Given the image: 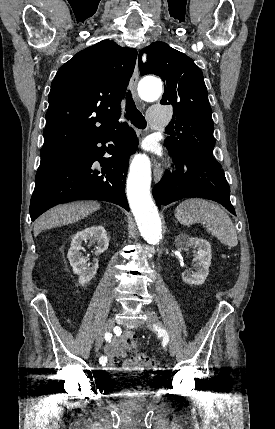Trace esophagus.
I'll return each mask as SVG.
<instances>
[{
  "label": "esophagus",
  "instance_id": "34e87169",
  "mask_svg": "<svg viewBox=\"0 0 275 429\" xmlns=\"http://www.w3.org/2000/svg\"><path fill=\"white\" fill-rule=\"evenodd\" d=\"M138 80H139V69H138V60H137L135 64L134 72L130 81V88H131L132 94L137 101H139V97L137 94ZM162 173H163V170L161 168V164L155 160L153 164V176H154L155 183H158L160 181L162 177Z\"/></svg>",
  "mask_w": 275,
  "mask_h": 429
}]
</instances>
